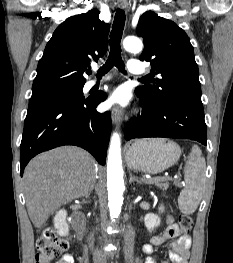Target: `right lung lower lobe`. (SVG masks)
<instances>
[{
    "mask_svg": "<svg viewBox=\"0 0 233 263\" xmlns=\"http://www.w3.org/2000/svg\"><path fill=\"white\" fill-rule=\"evenodd\" d=\"M105 98H56L29 105L20 145L21 176L31 158L62 145L80 146L104 165L111 114L99 113L96 107Z\"/></svg>",
    "mask_w": 233,
    "mask_h": 263,
    "instance_id": "1",
    "label": "right lung lower lobe"
}]
</instances>
